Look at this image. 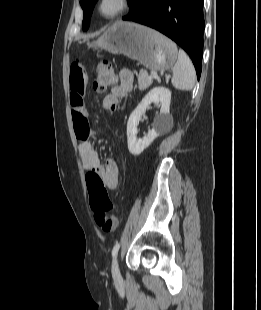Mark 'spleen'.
I'll return each instance as SVG.
<instances>
[{
    "mask_svg": "<svg viewBox=\"0 0 261 310\" xmlns=\"http://www.w3.org/2000/svg\"><path fill=\"white\" fill-rule=\"evenodd\" d=\"M196 80V72L188 55L179 50L178 60L173 67L172 85L179 90L190 91Z\"/></svg>",
    "mask_w": 261,
    "mask_h": 310,
    "instance_id": "obj_1",
    "label": "spleen"
}]
</instances>
